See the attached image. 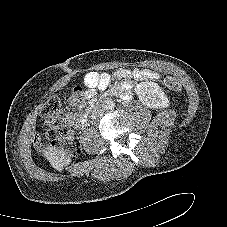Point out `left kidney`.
<instances>
[{
    "instance_id": "5707ae66",
    "label": "left kidney",
    "mask_w": 227,
    "mask_h": 227,
    "mask_svg": "<svg viewBox=\"0 0 227 227\" xmlns=\"http://www.w3.org/2000/svg\"><path fill=\"white\" fill-rule=\"evenodd\" d=\"M135 92L142 104L149 108H165L169 106V99L162 88L155 82H141L136 85Z\"/></svg>"
}]
</instances>
